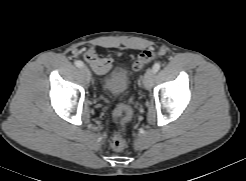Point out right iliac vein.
<instances>
[{
  "instance_id": "1",
  "label": "right iliac vein",
  "mask_w": 246,
  "mask_h": 181,
  "mask_svg": "<svg viewBox=\"0 0 246 181\" xmlns=\"http://www.w3.org/2000/svg\"><path fill=\"white\" fill-rule=\"evenodd\" d=\"M81 71L82 73L87 77L90 78L91 77V73L89 71V69L86 66H82L81 67Z\"/></svg>"
}]
</instances>
